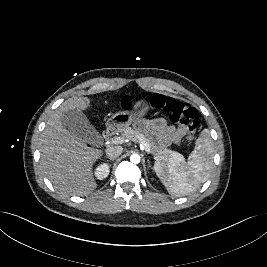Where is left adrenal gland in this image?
Returning <instances> with one entry per match:
<instances>
[{"instance_id": "left-adrenal-gland-1", "label": "left adrenal gland", "mask_w": 267, "mask_h": 267, "mask_svg": "<svg viewBox=\"0 0 267 267\" xmlns=\"http://www.w3.org/2000/svg\"><path fill=\"white\" fill-rule=\"evenodd\" d=\"M147 162H148V168H151V164H150L149 159L147 160Z\"/></svg>"}]
</instances>
